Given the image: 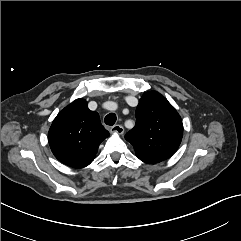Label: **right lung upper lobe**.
<instances>
[{
	"label": "right lung upper lobe",
	"instance_id": "cb5924a9",
	"mask_svg": "<svg viewBox=\"0 0 241 241\" xmlns=\"http://www.w3.org/2000/svg\"><path fill=\"white\" fill-rule=\"evenodd\" d=\"M108 136L98 113L89 110L84 99H76L56 116L48 132V141L59 161L83 168L94 160L100 143Z\"/></svg>",
	"mask_w": 241,
	"mask_h": 241
}]
</instances>
